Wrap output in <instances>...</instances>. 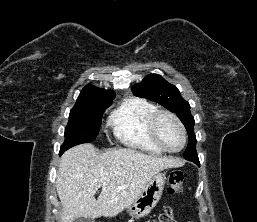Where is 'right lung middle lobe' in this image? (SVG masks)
I'll return each mask as SVG.
<instances>
[{
	"label": "right lung middle lobe",
	"mask_w": 257,
	"mask_h": 222,
	"mask_svg": "<svg viewBox=\"0 0 257 222\" xmlns=\"http://www.w3.org/2000/svg\"><path fill=\"white\" fill-rule=\"evenodd\" d=\"M112 101H94L75 104L65 128V141L60 155L67 149L96 139L102 121V115Z\"/></svg>",
	"instance_id": "dd1d6c3e"
}]
</instances>
